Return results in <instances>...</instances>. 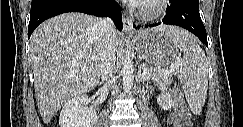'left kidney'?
Instances as JSON below:
<instances>
[{
    "label": "left kidney",
    "instance_id": "left-kidney-1",
    "mask_svg": "<svg viewBox=\"0 0 243 127\" xmlns=\"http://www.w3.org/2000/svg\"><path fill=\"white\" fill-rule=\"evenodd\" d=\"M157 103L164 110H170L173 106L172 96L170 92L163 91L157 97Z\"/></svg>",
    "mask_w": 243,
    "mask_h": 127
}]
</instances>
